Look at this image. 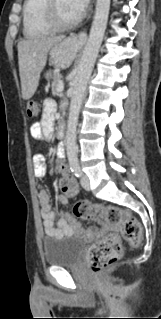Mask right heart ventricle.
<instances>
[{
  "mask_svg": "<svg viewBox=\"0 0 161 319\" xmlns=\"http://www.w3.org/2000/svg\"><path fill=\"white\" fill-rule=\"evenodd\" d=\"M45 0H26L23 9V35L26 39L43 38L51 32L44 19Z\"/></svg>",
  "mask_w": 161,
  "mask_h": 319,
  "instance_id": "obj_1",
  "label": "right heart ventricle"
}]
</instances>
